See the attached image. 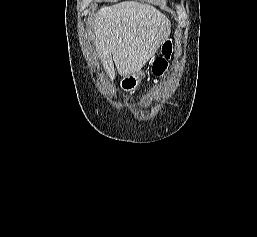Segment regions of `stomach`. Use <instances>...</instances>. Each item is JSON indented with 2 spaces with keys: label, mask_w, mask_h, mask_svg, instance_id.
I'll return each mask as SVG.
<instances>
[{
  "label": "stomach",
  "mask_w": 257,
  "mask_h": 237,
  "mask_svg": "<svg viewBox=\"0 0 257 237\" xmlns=\"http://www.w3.org/2000/svg\"><path fill=\"white\" fill-rule=\"evenodd\" d=\"M142 75L143 73L139 71L137 73L124 76L120 81L121 89L126 92L135 91L141 82Z\"/></svg>",
  "instance_id": "0dacf381"
}]
</instances>
